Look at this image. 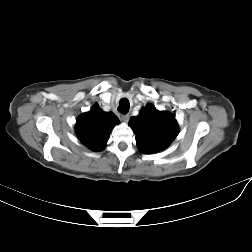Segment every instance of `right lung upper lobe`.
I'll return each mask as SVG.
<instances>
[{
    "instance_id": "obj_1",
    "label": "right lung upper lobe",
    "mask_w": 252,
    "mask_h": 252,
    "mask_svg": "<svg viewBox=\"0 0 252 252\" xmlns=\"http://www.w3.org/2000/svg\"><path fill=\"white\" fill-rule=\"evenodd\" d=\"M116 124H119V120L114 113L104 112L95 104L89 112L78 117L76 132L85 146L101 151L106 147L112 127Z\"/></svg>"
}]
</instances>
